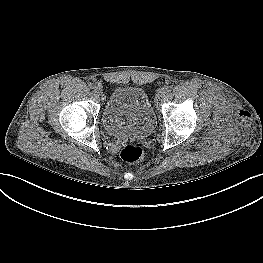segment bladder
I'll list each match as a JSON object with an SVG mask.
<instances>
[{
  "instance_id": "1",
  "label": "bladder",
  "mask_w": 263,
  "mask_h": 263,
  "mask_svg": "<svg viewBox=\"0 0 263 263\" xmlns=\"http://www.w3.org/2000/svg\"><path fill=\"white\" fill-rule=\"evenodd\" d=\"M101 121L112 136L146 137L154 129L155 114L141 88L116 86L104 105Z\"/></svg>"
}]
</instances>
